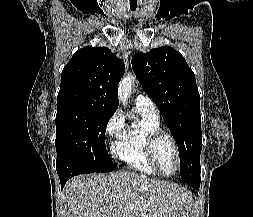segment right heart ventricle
<instances>
[{"label": "right heart ventricle", "mask_w": 253, "mask_h": 217, "mask_svg": "<svg viewBox=\"0 0 253 217\" xmlns=\"http://www.w3.org/2000/svg\"><path fill=\"white\" fill-rule=\"evenodd\" d=\"M136 110L139 120L124 130L114 146V154L131 170L155 176L159 173L149 161L145 143L151 133L160 130L159 116L152 115L140 108H136Z\"/></svg>", "instance_id": "e07e8e85"}]
</instances>
